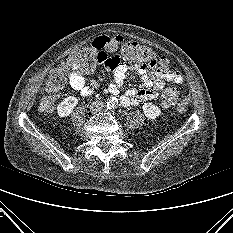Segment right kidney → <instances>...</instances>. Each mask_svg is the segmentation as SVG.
<instances>
[{
	"mask_svg": "<svg viewBox=\"0 0 233 233\" xmlns=\"http://www.w3.org/2000/svg\"><path fill=\"white\" fill-rule=\"evenodd\" d=\"M78 104V99L74 96H68L57 106V113L60 117L69 116L74 107Z\"/></svg>",
	"mask_w": 233,
	"mask_h": 233,
	"instance_id": "1",
	"label": "right kidney"
}]
</instances>
